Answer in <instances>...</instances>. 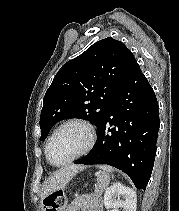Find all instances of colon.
Returning a JSON list of instances; mask_svg holds the SVG:
<instances>
[{
  "mask_svg": "<svg viewBox=\"0 0 179 211\" xmlns=\"http://www.w3.org/2000/svg\"><path fill=\"white\" fill-rule=\"evenodd\" d=\"M46 211H60L66 204V196L63 191H56L44 199Z\"/></svg>",
  "mask_w": 179,
  "mask_h": 211,
  "instance_id": "colon-1",
  "label": "colon"
}]
</instances>
